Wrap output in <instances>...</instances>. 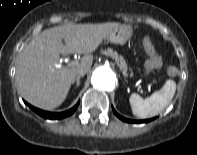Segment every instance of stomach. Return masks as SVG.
<instances>
[{
	"label": "stomach",
	"mask_w": 197,
	"mask_h": 155,
	"mask_svg": "<svg viewBox=\"0 0 197 155\" xmlns=\"http://www.w3.org/2000/svg\"><path fill=\"white\" fill-rule=\"evenodd\" d=\"M133 36V29L130 25H120L113 29L106 39L115 44H124Z\"/></svg>",
	"instance_id": "1"
}]
</instances>
